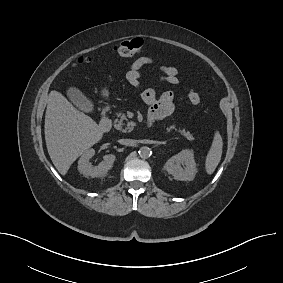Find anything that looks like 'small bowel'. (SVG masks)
Listing matches in <instances>:
<instances>
[{
    "label": "small bowel",
    "instance_id": "1",
    "mask_svg": "<svg viewBox=\"0 0 283 283\" xmlns=\"http://www.w3.org/2000/svg\"><path fill=\"white\" fill-rule=\"evenodd\" d=\"M153 58L141 56L130 64L126 72L127 81L134 87L141 85L142 68L153 63ZM158 79L172 85L179 83L178 70L172 66H159ZM143 101L149 106L148 119L150 122L164 120L174 112V95L170 91L158 94L154 89L148 88L142 92Z\"/></svg>",
    "mask_w": 283,
    "mask_h": 283
}]
</instances>
